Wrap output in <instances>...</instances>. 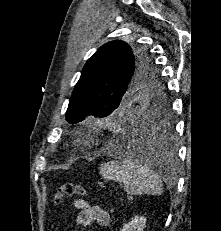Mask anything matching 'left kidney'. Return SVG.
<instances>
[{
  "mask_svg": "<svg viewBox=\"0 0 221 231\" xmlns=\"http://www.w3.org/2000/svg\"><path fill=\"white\" fill-rule=\"evenodd\" d=\"M146 226V218L144 216H135L130 222L123 225L121 231H143Z\"/></svg>",
  "mask_w": 221,
  "mask_h": 231,
  "instance_id": "obj_1",
  "label": "left kidney"
}]
</instances>
